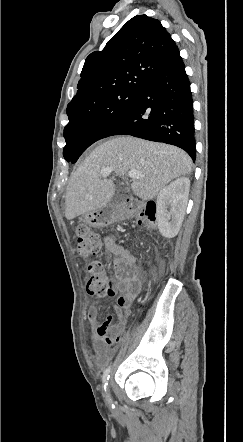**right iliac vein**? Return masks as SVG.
Returning a JSON list of instances; mask_svg holds the SVG:
<instances>
[{
	"mask_svg": "<svg viewBox=\"0 0 243 442\" xmlns=\"http://www.w3.org/2000/svg\"><path fill=\"white\" fill-rule=\"evenodd\" d=\"M107 394L110 395V388H109V386L107 388Z\"/></svg>",
	"mask_w": 243,
	"mask_h": 442,
	"instance_id": "obj_1",
	"label": "right iliac vein"
}]
</instances>
